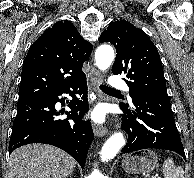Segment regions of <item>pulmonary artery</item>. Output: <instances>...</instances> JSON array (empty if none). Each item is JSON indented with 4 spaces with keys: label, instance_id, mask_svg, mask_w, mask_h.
Listing matches in <instances>:
<instances>
[{
    "label": "pulmonary artery",
    "instance_id": "e3ab8cb5",
    "mask_svg": "<svg viewBox=\"0 0 194 178\" xmlns=\"http://www.w3.org/2000/svg\"><path fill=\"white\" fill-rule=\"evenodd\" d=\"M109 85L113 89H127L125 81L117 75L111 77Z\"/></svg>",
    "mask_w": 194,
    "mask_h": 178
}]
</instances>
